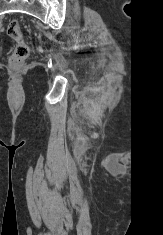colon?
<instances>
[{"instance_id": "5ec220e1", "label": "colon", "mask_w": 163, "mask_h": 235, "mask_svg": "<svg viewBox=\"0 0 163 235\" xmlns=\"http://www.w3.org/2000/svg\"><path fill=\"white\" fill-rule=\"evenodd\" d=\"M8 36L16 42L14 52L10 58V64L13 69H18L28 58L30 48L16 20L11 21L7 27Z\"/></svg>"}]
</instances>
